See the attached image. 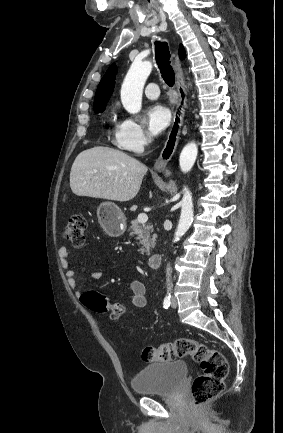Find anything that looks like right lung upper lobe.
<instances>
[{"instance_id":"1","label":"right lung upper lobe","mask_w":283,"mask_h":433,"mask_svg":"<svg viewBox=\"0 0 283 433\" xmlns=\"http://www.w3.org/2000/svg\"><path fill=\"white\" fill-rule=\"evenodd\" d=\"M180 58L183 59L185 57V51L182 45L179 48ZM116 65L112 64L109 69L106 71L102 80L100 81L94 99V110L106 107V103L110 98L114 85H115V77H116Z\"/></svg>"}]
</instances>
